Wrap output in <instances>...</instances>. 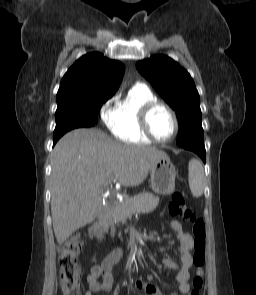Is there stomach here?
<instances>
[{
    "instance_id": "stomach-1",
    "label": "stomach",
    "mask_w": 256,
    "mask_h": 295,
    "mask_svg": "<svg viewBox=\"0 0 256 295\" xmlns=\"http://www.w3.org/2000/svg\"><path fill=\"white\" fill-rule=\"evenodd\" d=\"M176 168L168 156L159 159L151 170V187L160 195L171 194L175 189Z\"/></svg>"
}]
</instances>
